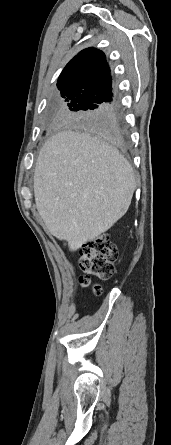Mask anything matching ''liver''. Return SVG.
<instances>
[{"label":"liver","instance_id":"1","mask_svg":"<svg viewBox=\"0 0 171 445\" xmlns=\"http://www.w3.org/2000/svg\"><path fill=\"white\" fill-rule=\"evenodd\" d=\"M136 188L131 164L112 145L63 130L40 150L34 174L37 210L70 251L96 240L128 210Z\"/></svg>","mask_w":171,"mask_h":445}]
</instances>
